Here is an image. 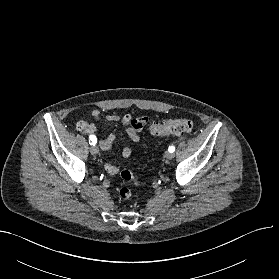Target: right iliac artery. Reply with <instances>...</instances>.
<instances>
[{"label": "right iliac artery", "instance_id": "1", "mask_svg": "<svg viewBox=\"0 0 279 279\" xmlns=\"http://www.w3.org/2000/svg\"><path fill=\"white\" fill-rule=\"evenodd\" d=\"M90 145H95L97 143V139L95 136H90V140H89Z\"/></svg>", "mask_w": 279, "mask_h": 279}]
</instances>
